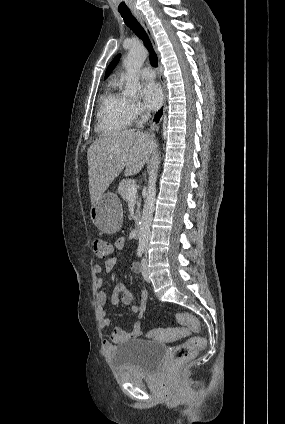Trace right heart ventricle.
I'll list each match as a JSON object with an SVG mask.
<instances>
[{"mask_svg":"<svg viewBox=\"0 0 285 424\" xmlns=\"http://www.w3.org/2000/svg\"><path fill=\"white\" fill-rule=\"evenodd\" d=\"M128 105L129 100L119 91L118 81H110L99 101L98 133L106 135L123 130L130 122Z\"/></svg>","mask_w":285,"mask_h":424,"instance_id":"obj_1","label":"right heart ventricle"}]
</instances>
